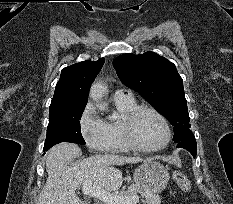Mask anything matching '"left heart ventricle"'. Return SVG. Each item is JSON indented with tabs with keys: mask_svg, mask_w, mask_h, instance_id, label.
Returning <instances> with one entry per match:
<instances>
[{
	"mask_svg": "<svg viewBox=\"0 0 233 204\" xmlns=\"http://www.w3.org/2000/svg\"><path fill=\"white\" fill-rule=\"evenodd\" d=\"M135 133L138 142L147 148L161 145L166 138V131L162 122L151 112H142L137 117Z\"/></svg>",
	"mask_w": 233,
	"mask_h": 204,
	"instance_id": "b2bd125f",
	"label": "left heart ventricle"
}]
</instances>
